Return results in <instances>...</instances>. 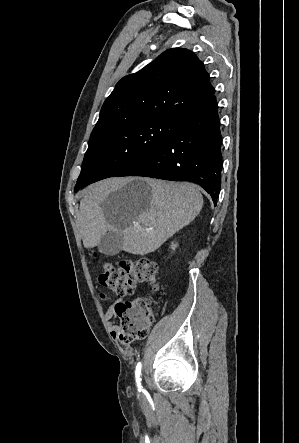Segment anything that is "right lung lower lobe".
Here are the masks:
<instances>
[{"instance_id":"1","label":"right lung lower lobe","mask_w":299,"mask_h":443,"mask_svg":"<svg viewBox=\"0 0 299 443\" xmlns=\"http://www.w3.org/2000/svg\"><path fill=\"white\" fill-rule=\"evenodd\" d=\"M221 132L214 93L177 118L169 138L120 176L189 181L202 186L217 203L221 187Z\"/></svg>"}]
</instances>
